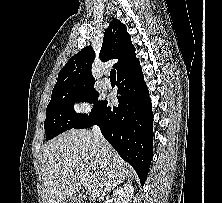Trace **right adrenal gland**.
Returning <instances> with one entry per match:
<instances>
[{
  "label": "right adrenal gland",
  "mask_w": 222,
  "mask_h": 203,
  "mask_svg": "<svg viewBox=\"0 0 222 203\" xmlns=\"http://www.w3.org/2000/svg\"><path fill=\"white\" fill-rule=\"evenodd\" d=\"M119 183H120V182H118V183H115L113 187H115V186H116V185H118Z\"/></svg>",
  "instance_id": "right-adrenal-gland-1"
}]
</instances>
